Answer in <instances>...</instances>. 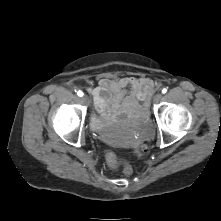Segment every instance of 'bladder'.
<instances>
[{"mask_svg":"<svg viewBox=\"0 0 221 221\" xmlns=\"http://www.w3.org/2000/svg\"><path fill=\"white\" fill-rule=\"evenodd\" d=\"M111 119L107 117L98 116L93 114L90 119V128L94 132H99L105 135L106 140L112 145L116 147H120L124 145V141L119 137L115 136L111 130Z\"/></svg>","mask_w":221,"mask_h":221,"instance_id":"obj_1","label":"bladder"}]
</instances>
